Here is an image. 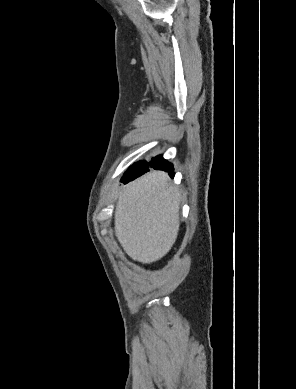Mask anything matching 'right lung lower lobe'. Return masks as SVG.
I'll use <instances>...</instances> for the list:
<instances>
[{"label": "right lung lower lobe", "instance_id": "right-lung-lower-lobe-1", "mask_svg": "<svg viewBox=\"0 0 296 389\" xmlns=\"http://www.w3.org/2000/svg\"><path fill=\"white\" fill-rule=\"evenodd\" d=\"M152 167L155 170H164L169 173L171 177L174 176L172 164L163 159L162 156H156L145 168H130L123 176L121 182L128 183L129 181L134 180L135 178L141 176L148 171V168Z\"/></svg>", "mask_w": 296, "mask_h": 389}]
</instances>
